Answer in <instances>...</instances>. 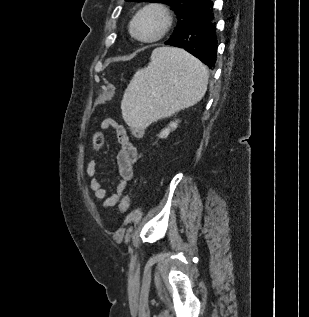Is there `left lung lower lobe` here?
<instances>
[{
    "label": "left lung lower lobe",
    "instance_id": "0a47b994",
    "mask_svg": "<svg viewBox=\"0 0 309 317\" xmlns=\"http://www.w3.org/2000/svg\"><path fill=\"white\" fill-rule=\"evenodd\" d=\"M216 32L213 2L209 0L195 10L187 25L180 32L172 35L165 44L185 49L212 68L215 66L217 56Z\"/></svg>",
    "mask_w": 309,
    "mask_h": 317
}]
</instances>
